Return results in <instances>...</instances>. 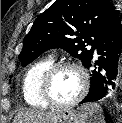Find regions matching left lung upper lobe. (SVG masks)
<instances>
[{"instance_id": "1", "label": "left lung upper lobe", "mask_w": 122, "mask_h": 123, "mask_svg": "<svg viewBox=\"0 0 122 123\" xmlns=\"http://www.w3.org/2000/svg\"><path fill=\"white\" fill-rule=\"evenodd\" d=\"M116 16L109 0H56L26 35L19 55L22 66L49 49L63 48L86 67L96 43ZM86 45L92 48L87 50Z\"/></svg>"}]
</instances>
